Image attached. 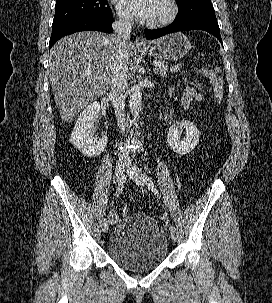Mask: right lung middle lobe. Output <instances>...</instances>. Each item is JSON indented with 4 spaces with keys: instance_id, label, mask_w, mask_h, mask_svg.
Wrapping results in <instances>:
<instances>
[{
    "instance_id": "right-lung-middle-lobe-1",
    "label": "right lung middle lobe",
    "mask_w": 272,
    "mask_h": 303,
    "mask_svg": "<svg viewBox=\"0 0 272 303\" xmlns=\"http://www.w3.org/2000/svg\"><path fill=\"white\" fill-rule=\"evenodd\" d=\"M79 16L111 17L107 0H58L53 24Z\"/></svg>"
}]
</instances>
